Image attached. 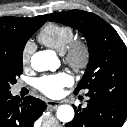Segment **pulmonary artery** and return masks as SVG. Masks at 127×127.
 <instances>
[{"instance_id": "pulmonary-artery-1", "label": "pulmonary artery", "mask_w": 127, "mask_h": 127, "mask_svg": "<svg viewBox=\"0 0 127 127\" xmlns=\"http://www.w3.org/2000/svg\"><path fill=\"white\" fill-rule=\"evenodd\" d=\"M22 86H23L22 84H19V85L17 86V89H20Z\"/></svg>"}]
</instances>
